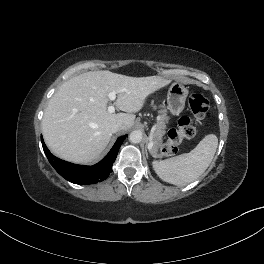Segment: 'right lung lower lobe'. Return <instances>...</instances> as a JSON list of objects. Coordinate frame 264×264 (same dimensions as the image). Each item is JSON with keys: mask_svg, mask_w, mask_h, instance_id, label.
Segmentation results:
<instances>
[{"mask_svg": "<svg viewBox=\"0 0 264 264\" xmlns=\"http://www.w3.org/2000/svg\"><path fill=\"white\" fill-rule=\"evenodd\" d=\"M126 137L127 135L119 137L106 157L93 166H82L63 161L50 153L42 137L41 142L50 164L62 177L72 183L86 185L101 182L109 176L118 150Z\"/></svg>", "mask_w": 264, "mask_h": 264, "instance_id": "obj_1", "label": "right lung lower lobe"}]
</instances>
